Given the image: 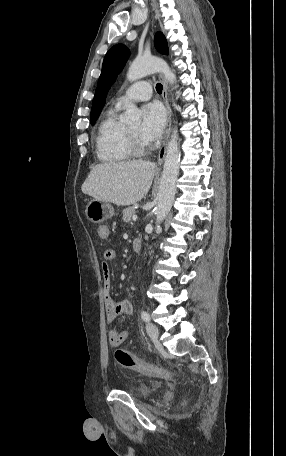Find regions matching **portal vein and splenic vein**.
I'll list each match as a JSON object with an SVG mask.
<instances>
[{
  "mask_svg": "<svg viewBox=\"0 0 286 456\" xmlns=\"http://www.w3.org/2000/svg\"><path fill=\"white\" fill-rule=\"evenodd\" d=\"M132 219H133V221H136L137 220V216L133 215Z\"/></svg>",
  "mask_w": 286,
  "mask_h": 456,
  "instance_id": "1",
  "label": "portal vein and splenic vein"
}]
</instances>
